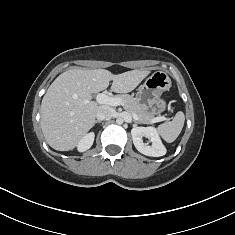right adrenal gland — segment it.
<instances>
[{
    "label": "right adrenal gland",
    "instance_id": "2a0ac1e0",
    "mask_svg": "<svg viewBox=\"0 0 235 235\" xmlns=\"http://www.w3.org/2000/svg\"><path fill=\"white\" fill-rule=\"evenodd\" d=\"M101 121H99V120H96L95 122H94V125L96 124V123H100Z\"/></svg>",
    "mask_w": 235,
    "mask_h": 235
}]
</instances>
